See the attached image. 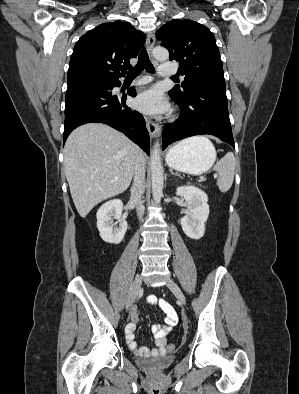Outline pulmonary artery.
I'll return each mask as SVG.
<instances>
[{
	"instance_id": "obj_1",
	"label": "pulmonary artery",
	"mask_w": 299,
	"mask_h": 394,
	"mask_svg": "<svg viewBox=\"0 0 299 394\" xmlns=\"http://www.w3.org/2000/svg\"><path fill=\"white\" fill-rule=\"evenodd\" d=\"M175 73H176V70L170 64L163 63L159 66L158 75L161 77H168V76L174 75ZM149 80H150L149 77H145V78L136 80L135 83L136 84H145V83L149 82Z\"/></svg>"
}]
</instances>
